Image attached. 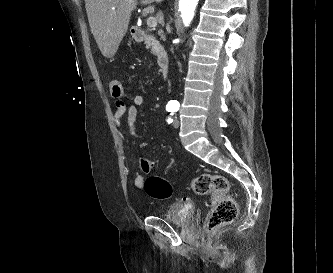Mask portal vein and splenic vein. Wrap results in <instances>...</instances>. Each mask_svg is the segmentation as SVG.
<instances>
[{
    "label": "portal vein and splenic vein",
    "mask_w": 333,
    "mask_h": 273,
    "mask_svg": "<svg viewBox=\"0 0 333 273\" xmlns=\"http://www.w3.org/2000/svg\"><path fill=\"white\" fill-rule=\"evenodd\" d=\"M112 10H114V8H112ZM147 25H148V27H151V28L156 27V26H157V20H156V18H154V17H149V18L147 19Z\"/></svg>",
    "instance_id": "1"
}]
</instances>
